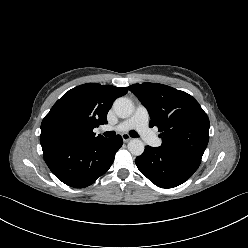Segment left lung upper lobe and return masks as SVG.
Wrapping results in <instances>:
<instances>
[{"label":"left lung upper lobe","instance_id":"left-lung-upper-lobe-1","mask_svg":"<svg viewBox=\"0 0 248 248\" xmlns=\"http://www.w3.org/2000/svg\"><path fill=\"white\" fill-rule=\"evenodd\" d=\"M129 90L147 108L150 127L161 132L165 151L201 159L209 141V119L186 92L158 83L134 84Z\"/></svg>","mask_w":248,"mask_h":248}]
</instances>
